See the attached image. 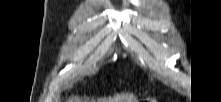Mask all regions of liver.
Instances as JSON below:
<instances>
[{
  "label": "liver",
  "mask_w": 221,
  "mask_h": 102,
  "mask_svg": "<svg viewBox=\"0 0 221 102\" xmlns=\"http://www.w3.org/2000/svg\"><path fill=\"white\" fill-rule=\"evenodd\" d=\"M74 100H76L74 102H82V101H80L82 99H79V98H76ZM84 100H89V99L84 98ZM98 100H99L98 102H137V97L134 96L133 94H130V93H128V94L123 93V94H118V95L114 96L113 98L110 97L108 99L103 98V99H98ZM83 102H88V101H83ZM93 102H95V101H93Z\"/></svg>",
  "instance_id": "1"
}]
</instances>
